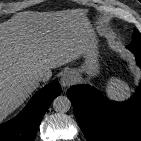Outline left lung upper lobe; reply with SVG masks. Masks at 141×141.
I'll use <instances>...</instances> for the list:
<instances>
[{
	"instance_id": "obj_1",
	"label": "left lung upper lobe",
	"mask_w": 141,
	"mask_h": 141,
	"mask_svg": "<svg viewBox=\"0 0 141 141\" xmlns=\"http://www.w3.org/2000/svg\"><path fill=\"white\" fill-rule=\"evenodd\" d=\"M135 42L141 43V33L137 29L134 30V33L132 36V43H135Z\"/></svg>"
}]
</instances>
